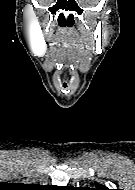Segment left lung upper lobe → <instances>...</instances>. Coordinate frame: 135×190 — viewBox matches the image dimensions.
I'll use <instances>...</instances> for the list:
<instances>
[{
	"mask_svg": "<svg viewBox=\"0 0 135 190\" xmlns=\"http://www.w3.org/2000/svg\"><path fill=\"white\" fill-rule=\"evenodd\" d=\"M96 185L98 186L97 190H110L109 188L103 186V185H100L98 183H96Z\"/></svg>",
	"mask_w": 135,
	"mask_h": 190,
	"instance_id": "1",
	"label": "left lung upper lobe"
}]
</instances>
